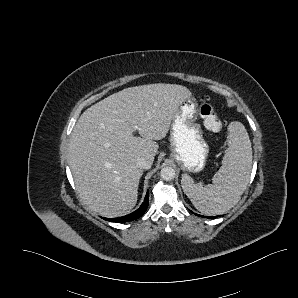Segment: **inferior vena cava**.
<instances>
[{
  "mask_svg": "<svg viewBox=\"0 0 298 298\" xmlns=\"http://www.w3.org/2000/svg\"><path fill=\"white\" fill-rule=\"evenodd\" d=\"M136 166L140 169H150L152 167V162L143 157H140L136 161Z\"/></svg>",
  "mask_w": 298,
  "mask_h": 298,
  "instance_id": "1",
  "label": "inferior vena cava"
}]
</instances>
